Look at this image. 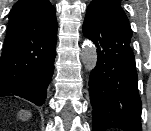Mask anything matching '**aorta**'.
I'll use <instances>...</instances> for the list:
<instances>
[{"label":"aorta","mask_w":151,"mask_h":131,"mask_svg":"<svg viewBox=\"0 0 151 131\" xmlns=\"http://www.w3.org/2000/svg\"><path fill=\"white\" fill-rule=\"evenodd\" d=\"M81 60L86 71H92L97 65V51L96 48L89 43L83 45Z\"/></svg>","instance_id":"aorta-1"}]
</instances>
